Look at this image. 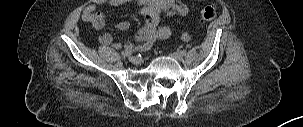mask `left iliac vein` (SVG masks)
I'll list each match as a JSON object with an SVG mask.
<instances>
[{
    "instance_id": "4c4485c4",
    "label": "left iliac vein",
    "mask_w": 303,
    "mask_h": 127,
    "mask_svg": "<svg viewBox=\"0 0 303 127\" xmlns=\"http://www.w3.org/2000/svg\"><path fill=\"white\" fill-rule=\"evenodd\" d=\"M173 59L177 60V61H182V56L179 53H173L170 55Z\"/></svg>"
}]
</instances>
